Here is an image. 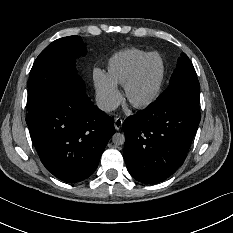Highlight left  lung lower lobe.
Returning <instances> with one entry per match:
<instances>
[{
	"instance_id": "obj_1",
	"label": "left lung lower lobe",
	"mask_w": 233,
	"mask_h": 233,
	"mask_svg": "<svg viewBox=\"0 0 233 233\" xmlns=\"http://www.w3.org/2000/svg\"><path fill=\"white\" fill-rule=\"evenodd\" d=\"M199 122V105L187 103H152L128 117L123 131L130 174L146 184L167 179L183 164Z\"/></svg>"
}]
</instances>
